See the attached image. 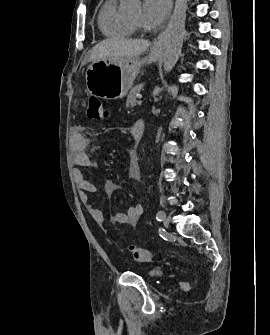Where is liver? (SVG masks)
Wrapping results in <instances>:
<instances>
[{
	"label": "liver",
	"instance_id": "obj_1",
	"mask_svg": "<svg viewBox=\"0 0 270 335\" xmlns=\"http://www.w3.org/2000/svg\"><path fill=\"white\" fill-rule=\"evenodd\" d=\"M150 42L148 40H123V42H114V40H103L92 48L89 60L98 62V60H106V58H134L146 52Z\"/></svg>",
	"mask_w": 270,
	"mask_h": 335
}]
</instances>
